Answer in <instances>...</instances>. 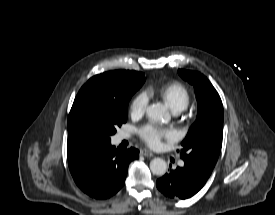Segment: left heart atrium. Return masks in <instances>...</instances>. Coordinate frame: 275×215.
I'll use <instances>...</instances> for the list:
<instances>
[{"label": "left heart atrium", "mask_w": 275, "mask_h": 215, "mask_svg": "<svg viewBox=\"0 0 275 215\" xmlns=\"http://www.w3.org/2000/svg\"><path fill=\"white\" fill-rule=\"evenodd\" d=\"M141 138L151 147L160 145L162 139H172L173 134L164 128L148 124L138 130Z\"/></svg>", "instance_id": "obj_1"}]
</instances>
